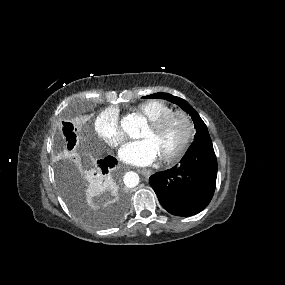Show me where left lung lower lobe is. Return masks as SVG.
<instances>
[{"label": "left lung lower lobe", "instance_id": "left-lung-lower-lobe-1", "mask_svg": "<svg viewBox=\"0 0 285 285\" xmlns=\"http://www.w3.org/2000/svg\"><path fill=\"white\" fill-rule=\"evenodd\" d=\"M217 159L211 141L190 148L180 165L150 177L161 205L171 214L191 216L211 201L216 185Z\"/></svg>", "mask_w": 285, "mask_h": 285}]
</instances>
